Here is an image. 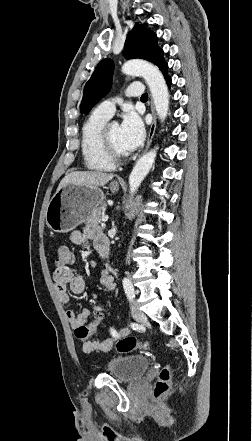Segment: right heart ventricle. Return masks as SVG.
<instances>
[{"label": "right heart ventricle", "instance_id": "obj_1", "mask_svg": "<svg viewBox=\"0 0 252 441\" xmlns=\"http://www.w3.org/2000/svg\"><path fill=\"white\" fill-rule=\"evenodd\" d=\"M109 118L96 110L85 120L81 132V154L88 170L109 172L115 164L106 159L101 149V133Z\"/></svg>", "mask_w": 252, "mask_h": 441}]
</instances>
